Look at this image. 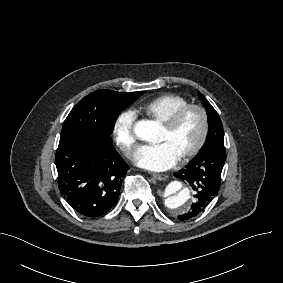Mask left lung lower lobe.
Wrapping results in <instances>:
<instances>
[{"mask_svg":"<svg viewBox=\"0 0 283 283\" xmlns=\"http://www.w3.org/2000/svg\"><path fill=\"white\" fill-rule=\"evenodd\" d=\"M226 159L224 143H208L199 154L174 176L188 181L195 191V202L191 210L178 216L180 220H188L198 216L209 205L221 185V172Z\"/></svg>","mask_w":283,"mask_h":283,"instance_id":"obj_1","label":"left lung lower lobe"}]
</instances>
